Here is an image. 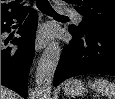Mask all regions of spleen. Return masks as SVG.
I'll use <instances>...</instances> for the list:
<instances>
[{"mask_svg": "<svg viewBox=\"0 0 115 99\" xmlns=\"http://www.w3.org/2000/svg\"><path fill=\"white\" fill-rule=\"evenodd\" d=\"M88 83L91 84L96 92L108 96L109 99H115V83H111L103 78L96 79L93 83L91 81Z\"/></svg>", "mask_w": 115, "mask_h": 99, "instance_id": "1", "label": "spleen"}]
</instances>
